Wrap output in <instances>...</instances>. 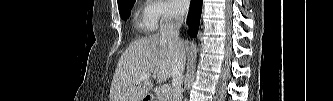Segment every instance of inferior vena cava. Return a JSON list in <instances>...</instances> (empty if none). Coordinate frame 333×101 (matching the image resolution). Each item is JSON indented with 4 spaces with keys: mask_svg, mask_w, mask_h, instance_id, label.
Listing matches in <instances>:
<instances>
[{
    "mask_svg": "<svg viewBox=\"0 0 333 101\" xmlns=\"http://www.w3.org/2000/svg\"><path fill=\"white\" fill-rule=\"evenodd\" d=\"M185 12L176 10L160 23V35L167 40L174 53V69L172 73L173 101H182V82L186 56L183 41L179 38V29L184 21Z\"/></svg>",
    "mask_w": 333,
    "mask_h": 101,
    "instance_id": "inferior-vena-cava-1",
    "label": "inferior vena cava"
}]
</instances>
